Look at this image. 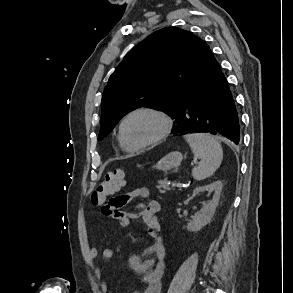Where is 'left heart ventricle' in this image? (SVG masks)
<instances>
[{
    "mask_svg": "<svg viewBox=\"0 0 293 293\" xmlns=\"http://www.w3.org/2000/svg\"><path fill=\"white\" fill-rule=\"evenodd\" d=\"M161 123L158 118L150 114H136L124 126V136L131 145H138L149 141L160 131Z\"/></svg>",
    "mask_w": 293,
    "mask_h": 293,
    "instance_id": "left-heart-ventricle-1",
    "label": "left heart ventricle"
}]
</instances>
